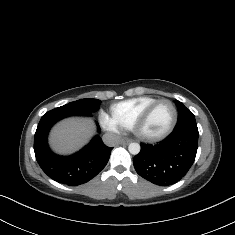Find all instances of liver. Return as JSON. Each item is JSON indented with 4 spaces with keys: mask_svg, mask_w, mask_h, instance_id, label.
Wrapping results in <instances>:
<instances>
[{
    "mask_svg": "<svg viewBox=\"0 0 235 235\" xmlns=\"http://www.w3.org/2000/svg\"><path fill=\"white\" fill-rule=\"evenodd\" d=\"M96 132L92 118L70 117L58 122L49 134L51 149L68 155L83 147Z\"/></svg>",
    "mask_w": 235,
    "mask_h": 235,
    "instance_id": "obj_1",
    "label": "liver"
}]
</instances>
